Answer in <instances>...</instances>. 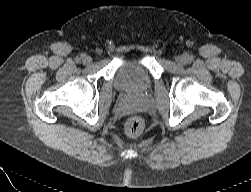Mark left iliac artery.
I'll return each instance as SVG.
<instances>
[{
    "label": "left iliac artery",
    "instance_id": "obj_1",
    "mask_svg": "<svg viewBox=\"0 0 251 192\" xmlns=\"http://www.w3.org/2000/svg\"><path fill=\"white\" fill-rule=\"evenodd\" d=\"M192 58L191 57H188V60H191Z\"/></svg>",
    "mask_w": 251,
    "mask_h": 192
}]
</instances>
